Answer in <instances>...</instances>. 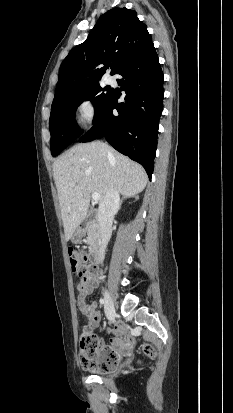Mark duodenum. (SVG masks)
<instances>
[{"mask_svg": "<svg viewBox=\"0 0 233 413\" xmlns=\"http://www.w3.org/2000/svg\"><path fill=\"white\" fill-rule=\"evenodd\" d=\"M87 228V223L86 222H81L79 224V229L80 231H85ZM91 256L95 261H99L100 260V249L98 246H94L91 250Z\"/></svg>", "mask_w": 233, "mask_h": 413, "instance_id": "1", "label": "duodenum"}]
</instances>
